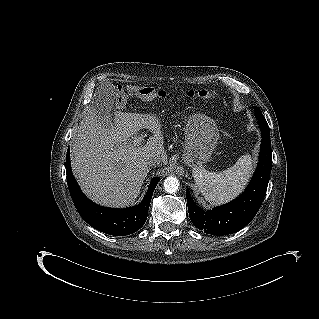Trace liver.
I'll use <instances>...</instances> for the list:
<instances>
[{"instance_id": "obj_1", "label": "liver", "mask_w": 319, "mask_h": 319, "mask_svg": "<svg viewBox=\"0 0 319 319\" xmlns=\"http://www.w3.org/2000/svg\"><path fill=\"white\" fill-rule=\"evenodd\" d=\"M143 128L153 136L143 146L133 145ZM161 128L152 115L116 111L114 118L102 119L89 105L71 149L72 171L86 196L107 207L133 204L150 171L148 158L158 155L167 162Z\"/></svg>"}]
</instances>
